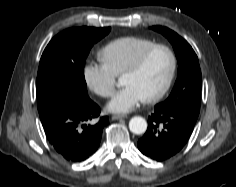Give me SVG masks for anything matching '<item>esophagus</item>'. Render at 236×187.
Wrapping results in <instances>:
<instances>
[{
  "label": "esophagus",
  "mask_w": 236,
  "mask_h": 187,
  "mask_svg": "<svg viewBox=\"0 0 236 187\" xmlns=\"http://www.w3.org/2000/svg\"><path fill=\"white\" fill-rule=\"evenodd\" d=\"M111 118L112 120H119V119L127 118V116L126 115H113Z\"/></svg>",
  "instance_id": "obj_1"
}]
</instances>
